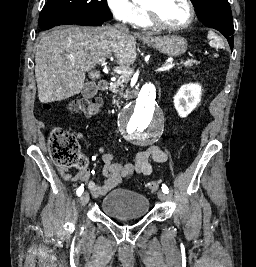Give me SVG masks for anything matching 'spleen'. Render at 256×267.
I'll return each mask as SVG.
<instances>
[{"mask_svg":"<svg viewBox=\"0 0 256 267\" xmlns=\"http://www.w3.org/2000/svg\"><path fill=\"white\" fill-rule=\"evenodd\" d=\"M207 38L208 40H210L209 44L211 48H223L224 42L222 38H220V36H217V34L213 32V30H210V32H208Z\"/></svg>","mask_w":256,"mask_h":267,"instance_id":"obj_1","label":"spleen"}]
</instances>
